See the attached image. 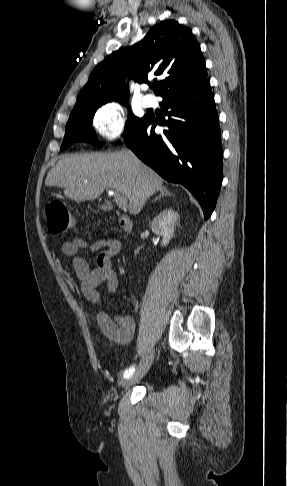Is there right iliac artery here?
<instances>
[{
	"instance_id": "right-iliac-artery-1",
	"label": "right iliac artery",
	"mask_w": 287,
	"mask_h": 486,
	"mask_svg": "<svg viewBox=\"0 0 287 486\" xmlns=\"http://www.w3.org/2000/svg\"><path fill=\"white\" fill-rule=\"evenodd\" d=\"M134 371H135V367H133V366H132V367L128 368V369H127V370L124 372V378H126V379H127V378L131 377V376L133 375Z\"/></svg>"
}]
</instances>
